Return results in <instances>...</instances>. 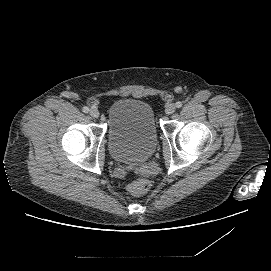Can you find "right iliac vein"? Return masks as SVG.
I'll return each mask as SVG.
<instances>
[{"instance_id":"63e3f726","label":"right iliac vein","mask_w":271,"mask_h":271,"mask_svg":"<svg viewBox=\"0 0 271 271\" xmlns=\"http://www.w3.org/2000/svg\"><path fill=\"white\" fill-rule=\"evenodd\" d=\"M89 114L93 118H98L100 115L99 111L96 108H91Z\"/></svg>"}]
</instances>
